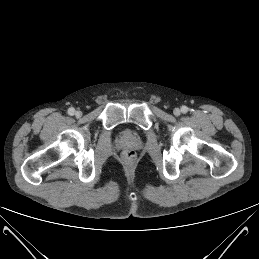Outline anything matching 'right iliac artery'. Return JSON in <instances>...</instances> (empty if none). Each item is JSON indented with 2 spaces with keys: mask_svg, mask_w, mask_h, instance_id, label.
Returning <instances> with one entry per match:
<instances>
[{
  "mask_svg": "<svg viewBox=\"0 0 259 259\" xmlns=\"http://www.w3.org/2000/svg\"><path fill=\"white\" fill-rule=\"evenodd\" d=\"M74 113H75V109H74L73 107H71V108L68 109V114H69V115L72 116V115H74Z\"/></svg>",
  "mask_w": 259,
  "mask_h": 259,
  "instance_id": "right-iliac-artery-1",
  "label": "right iliac artery"
}]
</instances>
